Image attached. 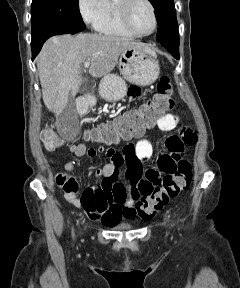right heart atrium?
<instances>
[{
    "label": "right heart atrium",
    "instance_id": "1",
    "mask_svg": "<svg viewBox=\"0 0 240 288\" xmlns=\"http://www.w3.org/2000/svg\"><path fill=\"white\" fill-rule=\"evenodd\" d=\"M109 0H78V8L83 20L97 28L108 11Z\"/></svg>",
    "mask_w": 240,
    "mask_h": 288
}]
</instances>
